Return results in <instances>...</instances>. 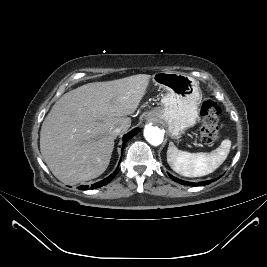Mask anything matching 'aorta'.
<instances>
[{
	"instance_id": "aorta-1",
	"label": "aorta",
	"mask_w": 267,
	"mask_h": 267,
	"mask_svg": "<svg viewBox=\"0 0 267 267\" xmlns=\"http://www.w3.org/2000/svg\"><path fill=\"white\" fill-rule=\"evenodd\" d=\"M144 137L150 144L158 146L163 142L164 131L153 124H147L144 128Z\"/></svg>"
}]
</instances>
